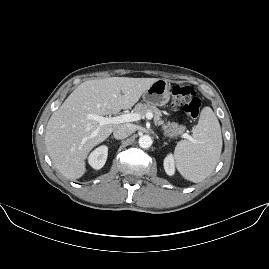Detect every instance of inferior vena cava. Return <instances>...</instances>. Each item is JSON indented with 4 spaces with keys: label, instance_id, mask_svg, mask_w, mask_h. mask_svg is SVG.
<instances>
[{
    "label": "inferior vena cava",
    "instance_id": "inferior-vena-cava-1",
    "mask_svg": "<svg viewBox=\"0 0 269 269\" xmlns=\"http://www.w3.org/2000/svg\"><path fill=\"white\" fill-rule=\"evenodd\" d=\"M133 131H134L133 125L123 124L114 130L113 136L117 140H122L129 137L133 133Z\"/></svg>",
    "mask_w": 269,
    "mask_h": 269
}]
</instances>
